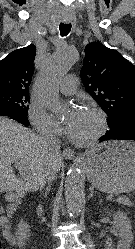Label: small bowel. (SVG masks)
I'll return each instance as SVG.
<instances>
[{
  "label": "small bowel",
  "instance_id": "obj_1",
  "mask_svg": "<svg viewBox=\"0 0 135 249\" xmlns=\"http://www.w3.org/2000/svg\"><path fill=\"white\" fill-rule=\"evenodd\" d=\"M13 209H9L8 211H4L0 208V227L2 228V232L4 237L14 244L13 236L11 233V225L9 221V214L12 212Z\"/></svg>",
  "mask_w": 135,
  "mask_h": 249
}]
</instances>
